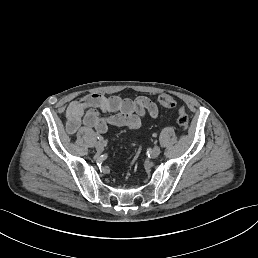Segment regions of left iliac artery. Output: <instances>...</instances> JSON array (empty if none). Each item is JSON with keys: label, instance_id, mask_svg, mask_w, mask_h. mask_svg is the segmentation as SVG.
<instances>
[{"label": "left iliac artery", "instance_id": "obj_1", "mask_svg": "<svg viewBox=\"0 0 258 258\" xmlns=\"http://www.w3.org/2000/svg\"><path fill=\"white\" fill-rule=\"evenodd\" d=\"M152 136H153L154 138H156V137L158 136V134H157V133H153Z\"/></svg>", "mask_w": 258, "mask_h": 258}]
</instances>
